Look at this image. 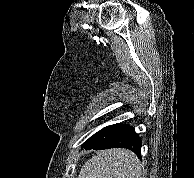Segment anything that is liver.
I'll return each mask as SVG.
<instances>
[{
	"label": "liver",
	"mask_w": 194,
	"mask_h": 178,
	"mask_svg": "<svg viewBox=\"0 0 194 178\" xmlns=\"http://www.w3.org/2000/svg\"><path fill=\"white\" fill-rule=\"evenodd\" d=\"M142 164L126 149L100 151L82 167L78 178H142Z\"/></svg>",
	"instance_id": "1"
}]
</instances>
